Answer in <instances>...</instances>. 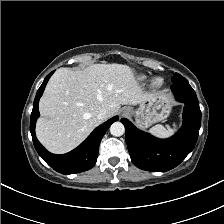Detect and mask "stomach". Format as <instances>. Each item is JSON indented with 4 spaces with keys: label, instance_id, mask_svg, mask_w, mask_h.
<instances>
[{
    "label": "stomach",
    "instance_id": "1",
    "mask_svg": "<svg viewBox=\"0 0 224 224\" xmlns=\"http://www.w3.org/2000/svg\"><path fill=\"white\" fill-rule=\"evenodd\" d=\"M172 101L164 94L154 95L152 98L139 104L131 113L135 116L136 124L140 128L160 122L168 117L171 112Z\"/></svg>",
    "mask_w": 224,
    "mask_h": 224
}]
</instances>
